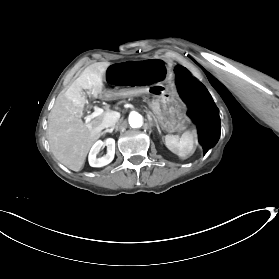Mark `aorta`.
I'll return each mask as SVG.
<instances>
[{
	"label": "aorta",
	"mask_w": 279,
	"mask_h": 279,
	"mask_svg": "<svg viewBox=\"0 0 279 279\" xmlns=\"http://www.w3.org/2000/svg\"><path fill=\"white\" fill-rule=\"evenodd\" d=\"M129 124L132 128L141 127L143 124V118L138 113H133L129 116Z\"/></svg>",
	"instance_id": "aorta-1"
}]
</instances>
